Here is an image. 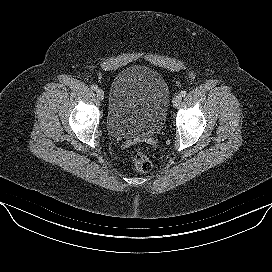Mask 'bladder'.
<instances>
[{
  "label": "bladder",
  "instance_id": "obj_1",
  "mask_svg": "<svg viewBox=\"0 0 272 272\" xmlns=\"http://www.w3.org/2000/svg\"><path fill=\"white\" fill-rule=\"evenodd\" d=\"M169 102V87L161 73L144 65L129 66L112 80L107 131L118 139L155 136L164 126Z\"/></svg>",
  "mask_w": 272,
  "mask_h": 272
}]
</instances>
